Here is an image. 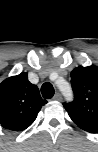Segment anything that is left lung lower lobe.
Listing matches in <instances>:
<instances>
[{
	"label": "left lung lower lobe",
	"mask_w": 98,
	"mask_h": 152,
	"mask_svg": "<svg viewBox=\"0 0 98 152\" xmlns=\"http://www.w3.org/2000/svg\"><path fill=\"white\" fill-rule=\"evenodd\" d=\"M85 131L90 132V133H98V131L96 130H85Z\"/></svg>",
	"instance_id": "left-lung-lower-lobe-1"
}]
</instances>
